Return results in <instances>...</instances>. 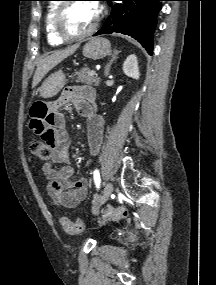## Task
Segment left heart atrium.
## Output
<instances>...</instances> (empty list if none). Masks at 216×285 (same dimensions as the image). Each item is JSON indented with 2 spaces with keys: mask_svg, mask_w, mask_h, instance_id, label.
<instances>
[{
  "mask_svg": "<svg viewBox=\"0 0 216 285\" xmlns=\"http://www.w3.org/2000/svg\"><path fill=\"white\" fill-rule=\"evenodd\" d=\"M94 7L96 8L97 12L99 11L98 6L94 4Z\"/></svg>",
  "mask_w": 216,
  "mask_h": 285,
  "instance_id": "obj_1",
  "label": "left heart atrium"
}]
</instances>
